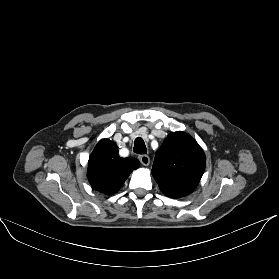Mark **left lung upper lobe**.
Masks as SVG:
<instances>
[{
  "instance_id": "1",
  "label": "left lung upper lobe",
  "mask_w": 279,
  "mask_h": 279,
  "mask_svg": "<svg viewBox=\"0 0 279 279\" xmlns=\"http://www.w3.org/2000/svg\"><path fill=\"white\" fill-rule=\"evenodd\" d=\"M206 165L202 148L187 133L172 132L156 152L152 175L160 190L170 198H180L197 187Z\"/></svg>"
}]
</instances>
